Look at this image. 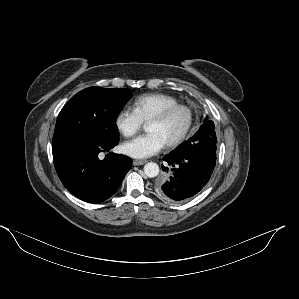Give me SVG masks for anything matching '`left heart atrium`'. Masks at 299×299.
I'll return each instance as SVG.
<instances>
[{
  "label": "left heart atrium",
  "instance_id": "39dd6f15",
  "mask_svg": "<svg viewBox=\"0 0 299 299\" xmlns=\"http://www.w3.org/2000/svg\"><path fill=\"white\" fill-rule=\"evenodd\" d=\"M164 146L165 142L157 133L149 132L124 142L121 152L132 158L144 159L157 154Z\"/></svg>",
  "mask_w": 299,
  "mask_h": 299
}]
</instances>
